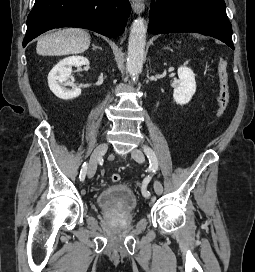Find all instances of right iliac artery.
Listing matches in <instances>:
<instances>
[{
    "mask_svg": "<svg viewBox=\"0 0 255 272\" xmlns=\"http://www.w3.org/2000/svg\"><path fill=\"white\" fill-rule=\"evenodd\" d=\"M87 168H88V163L84 162L80 171V176L79 179L80 181H84L85 176H86V172H87Z\"/></svg>",
    "mask_w": 255,
    "mask_h": 272,
    "instance_id": "82829eb1",
    "label": "right iliac artery"
}]
</instances>
